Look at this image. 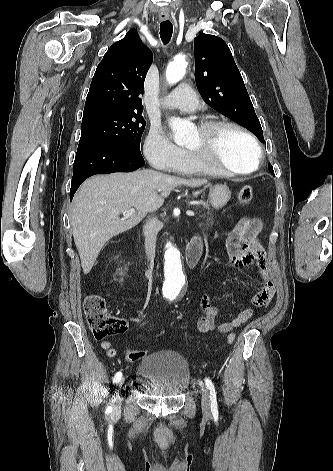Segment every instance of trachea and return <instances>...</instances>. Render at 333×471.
<instances>
[{
	"label": "trachea",
	"instance_id": "trachea-1",
	"mask_svg": "<svg viewBox=\"0 0 333 471\" xmlns=\"http://www.w3.org/2000/svg\"><path fill=\"white\" fill-rule=\"evenodd\" d=\"M173 33V25L169 20L160 24V37L164 44L169 43Z\"/></svg>",
	"mask_w": 333,
	"mask_h": 471
}]
</instances>
